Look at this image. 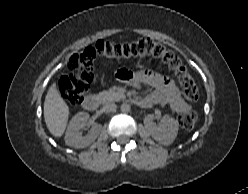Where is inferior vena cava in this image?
<instances>
[{
  "label": "inferior vena cava",
  "instance_id": "inferior-vena-cava-1",
  "mask_svg": "<svg viewBox=\"0 0 248 194\" xmlns=\"http://www.w3.org/2000/svg\"><path fill=\"white\" fill-rule=\"evenodd\" d=\"M116 104L114 103H107L103 106V111L106 112V113H110V112H114L116 111Z\"/></svg>",
  "mask_w": 248,
  "mask_h": 194
}]
</instances>
